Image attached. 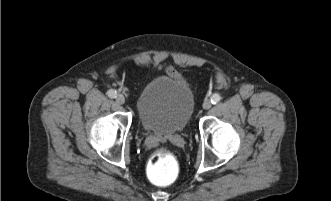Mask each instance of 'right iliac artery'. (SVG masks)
I'll use <instances>...</instances> for the list:
<instances>
[{"label":"right iliac artery","instance_id":"1","mask_svg":"<svg viewBox=\"0 0 331 201\" xmlns=\"http://www.w3.org/2000/svg\"><path fill=\"white\" fill-rule=\"evenodd\" d=\"M107 95H108L110 98H115L116 95H117V92H116V90H114V89H110V90L107 91Z\"/></svg>","mask_w":331,"mask_h":201}]
</instances>
